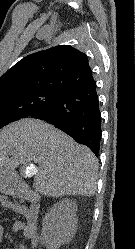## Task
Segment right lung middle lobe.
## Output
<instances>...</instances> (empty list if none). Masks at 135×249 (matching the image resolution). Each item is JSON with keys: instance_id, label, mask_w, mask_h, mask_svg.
<instances>
[{"instance_id": "1", "label": "right lung middle lobe", "mask_w": 135, "mask_h": 249, "mask_svg": "<svg viewBox=\"0 0 135 249\" xmlns=\"http://www.w3.org/2000/svg\"><path fill=\"white\" fill-rule=\"evenodd\" d=\"M62 93L55 91H32L17 95L0 96V128L45 106Z\"/></svg>"}]
</instances>
